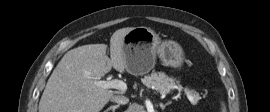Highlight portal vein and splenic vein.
<instances>
[{
    "label": "portal vein and splenic vein",
    "instance_id": "obj_1",
    "mask_svg": "<svg viewBox=\"0 0 270 112\" xmlns=\"http://www.w3.org/2000/svg\"><path fill=\"white\" fill-rule=\"evenodd\" d=\"M96 85L103 89H118L122 91L127 90L126 83L119 79H113L109 81L100 80L96 82ZM185 95L187 96V98L189 99L191 103L194 101L193 96L189 92L185 91Z\"/></svg>",
    "mask_w": 270,
    "mask_h": 112
}]
</instances>
